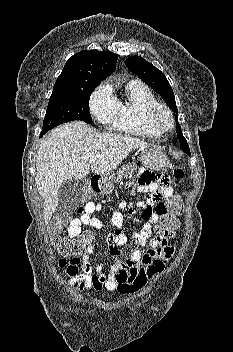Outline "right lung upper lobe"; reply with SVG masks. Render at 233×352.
I'll return each mask as SVG.
<instances>
[{"label": "right lung upper lobe", "instance_id": "cb5924a9", "mask_svg": "<svg viewBox=\"0 0 233 352\" xmlns=\"http://www.w3.org/2000/svg\"><path fill=\"white\" fill-rule=\"evenodd\" d=\"M117 54L110 51H81L71 56L56 80L53 91H72L99 85L115 70Z\"/></svg>", "mask_w": 233, "mask_h": 352}]
</instances>
